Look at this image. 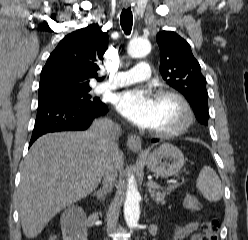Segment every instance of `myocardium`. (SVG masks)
<instances>
[{
  "label": "myocardium",
  "mask_w": 248,
  "mask_h": 240,
  "mask_svg": "<svg viewBox=\"0 0 248 240\" xmlns=\"http://www.w3.org/2000/svg\"><path fill=\"white\" fill-rule=\"evenodd\" d=\"M157 97H171L175 99L180 104L183 115L177 125L167 129H153L151 132L160 137H173L189 129L194 120V112L187 98L179 91L170 88L159 90Z\"/></svg>",
  "instance_id": "myocardium-1"
}]
</instances>
